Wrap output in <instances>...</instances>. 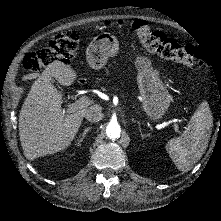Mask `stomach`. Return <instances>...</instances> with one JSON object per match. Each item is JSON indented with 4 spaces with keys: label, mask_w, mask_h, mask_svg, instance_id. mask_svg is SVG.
<instances>
[{
    "label": "stomach",
    "mask_w": 221,
    "mask_h": 221,
    "mask_svg": "<svg viewBox=\"0 0 221 221\" xmlns=\"http://www.w3.org/2000/svg\"><path fill=\"white\" fill-rule=\"evenodd\" d=\"M118 49L116 38L110 33H102L96 36L86 48V61L92 70H100L109 57L114 56ZM137 66L138 86L143 97V106L146 112L154 118H158L168 108L170 96L162 86L157 73L148 66V61L139 59Z\"/></svg>",
    "instance_id": "obj_1"
}]
</instances>
